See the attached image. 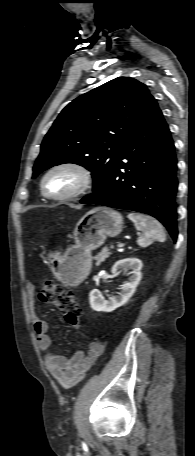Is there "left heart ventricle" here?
I'll use <instances>...</instances> for the list:
<instances>
[{
  "mask_svg": "<svg viewBox=\"0 0 195 456\" xmlns=\"http://www.w3.org/2000/svg\"><path fill=\"white\" fill-rule=\"evenodd\" d=\"M80 181L79 175L69 169H61L53 172L46 179V190L52 195H63L74 190Z\"/></svg>",
  "mask_w": 195,
  "mask_h": 456,
  "instance_id": "b2bd125f",
  "label": "left heart ventricle"
}]
</instances>
